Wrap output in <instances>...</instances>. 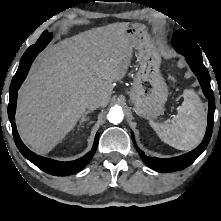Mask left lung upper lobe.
Listing matches in <instances>:
<instances>
[{"label":"left lung upper lobe","mask_w":221,"mask_h":221,"mask_svg":"<svg viewBox=\"0 0 221 221\" xmlns=\"http://www.w3.org/2000/svg\"><path fill=\"white\" fill-rule=\"evenodd\" d=\"M172 42L174 48L179 53L193 59L203 61L202 53L199 46L197 45L191 34H189L187 31L177 30L174 33Z\"/></svg>","instance_id":"left-lung-upper-lobe-1"}]
</instances>
